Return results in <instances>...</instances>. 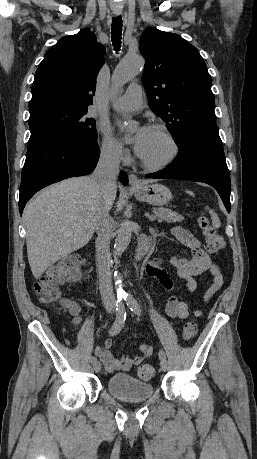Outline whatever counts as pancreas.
<instances>
[{
  "label": "pancreas",
  "mask_w": 257,
  "mask_h": 459,
  "mask_svg": "<svg viewBox=\"0 0 257 459\" xmlns=\"http://www.w3.org/2000/svg\"><path fill=\"white\" fill-rule=\"evenodd\" d=\"M153 213L158 218V222L166 221L168 223H175L182 221V216L168 208H154Z\"/></svg>",
  "instance_id": "pancreas-1"
}]
</instances>
